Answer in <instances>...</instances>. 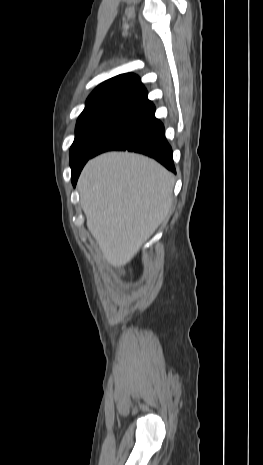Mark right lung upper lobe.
Returning a JSON list of instances; mask_svg holds the SVG:
<instances>
[{"instance_id":"obj_1","label":"right lung upper lobe","mask_w":263,"mask_h":465,"mask_svg":"<svg viewBox=\"0 0 263 465\" xmlns=\"http://www.w3.org/2000/svg\"><path fill=\"white\" fill-rule=\"evenodd\" d=\"M147 91L139 77L134 74H121L100 84L88 97L87 104L106 100L140 101Z\"/></svg>"}]
</instances>
